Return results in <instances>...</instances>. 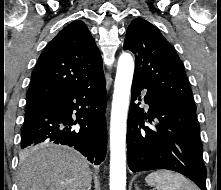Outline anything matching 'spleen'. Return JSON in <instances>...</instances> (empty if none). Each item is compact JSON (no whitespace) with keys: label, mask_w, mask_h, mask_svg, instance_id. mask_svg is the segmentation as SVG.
Listing matches in <instances>:
<instances>
[{"label":"spleen","mask_w":221,"mask_h":190,"mask_svg":"<svg viewBox=\"0 0 221 190\" xmlns=\"http://www.w3.org/2000/svg\"><path fill=\"white\" fill-rule=\"evenodd\" d=\"M145 181L156 190H199L184 176L167 170L154 171L146 177Z\"/></svg>","instance_id":"1"}]
</instances>
